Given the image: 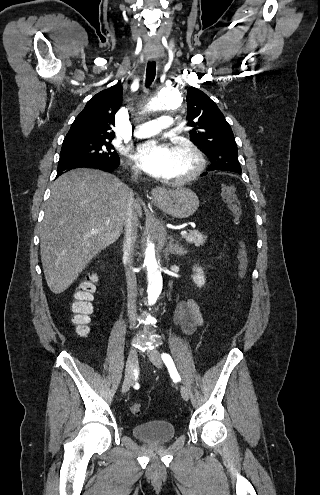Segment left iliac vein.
I'll return each instance as SVG.
<instances>
[{"mask_svg":"<svg viewBox=\"0 0 320 495\" xmlns=\"http://www.w3.org/2000/svg\"><path fill=\"white\" fill-rule=\"evenodd\" d=\"M148 357H149L150 361L153 363V365H155L157 368L163 367L161 355H160L158 350L153 349V350L149 351ZM180 393H181V396L184 400L187 401L189 399L190 393L185 386L182 385L180 387Z\"/></svg>","mask_w":320,"mask_h":495,"instance_id":"left-iliac-vein-1","label":"left iliac vein"}]
</instances>
